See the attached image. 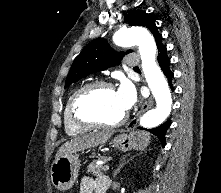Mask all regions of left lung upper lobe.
I'll return each instance as SVG.
<instances>
[{"label": "left lung upper lobe", "mask_w": 221, "mask_h": 193, "mask_svg": "<svg viewBox=\"0 0 221 193\" xmlns=\"http://www.w3.org/2000/svg\"><path fill=\"white\" fill-rule=\"evenodd\" d=\"M125 21L129 22L131 26L148 28L155 37L157 46L162 42V35L157 31L155 20L150 14L135 10L126 15ZM130 52L131 50H128L126 53ZM124 55L125 53L113 51L105 39L97 38L93 40L75 58L66 78L65 88L91 73L114 66Z\"/></svg>", "instance_id": "obj_1"}]
</instances>
